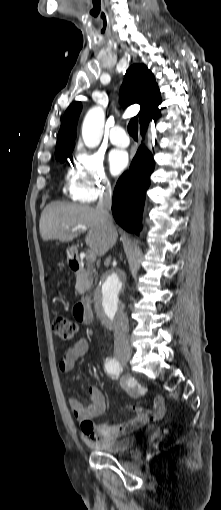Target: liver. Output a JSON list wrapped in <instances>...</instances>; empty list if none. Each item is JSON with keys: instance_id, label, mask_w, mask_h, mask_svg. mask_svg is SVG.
Listing matches in <instances>:
<instances>
[{"instance_id": "6515ba94", "label": "liver", "mask_w": 221, "mask_h": 510, "mask_svg": "<svg viewBox=\"0 0 221 510\" xmlns=\"http://www.w3.org/2000/svg\"><path fill=\"white\" fill-rule=\"evenodd\" d=\"M79 226L88 229L85 243L97 256H103L117 241L116 229L115 232H109L97 210L88 205L51 202L42 211L39 222L40 235L44 241H71L81 231Z\"/></svg>"}]
</instances>
